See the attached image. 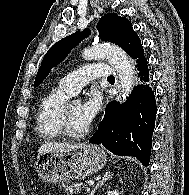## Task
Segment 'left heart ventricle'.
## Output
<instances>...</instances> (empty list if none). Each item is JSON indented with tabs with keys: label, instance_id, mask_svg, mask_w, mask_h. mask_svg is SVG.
Returning <instances> with one entry per match:
<instances>
[{
	"label": "left heart ventricle",
	"instance_id": "obj_1",
	"mask_svg": "<svg viewBox=\"0 0 189 195\" xmlns=\"http://www.w3.org/2000/svg\"><path fill=\"white\" fill-rule=\"evenodd\" d=\"M69 123L71 129L75 132L82 131L89 125L82 115L81 104L78 101H74L70 106Z\"/></svg>",
	"mask_w": 189,
	"mask_h": 195
}]
</instances>
